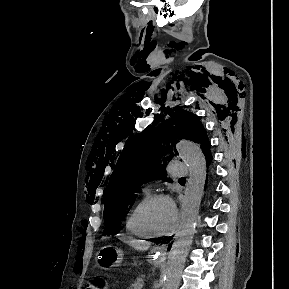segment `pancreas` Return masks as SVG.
Wrapping results in <instances>:
<instances>
[{"instance_id":"pancreas-1","label":"pancreas","mask_w":289,"mask_h":289,"mask_svg":"<svg viewBox=\"0 0 289 289\" xmlns=\"http://www.w3.org/2000/svg\"><path fill=\"white\" fill-rule=\"evenodd\" d=\"M143 284H144V278L139 277L131 284L129 289H142Z\"/></svg>"}]
</instances>
